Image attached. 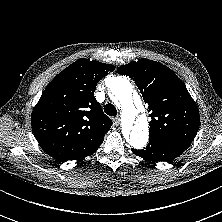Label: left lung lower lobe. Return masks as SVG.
<instances>
[{
	"label": "left lung lower lobe",
	"instance_id": "0a47b994",
	"mask_svg": "<svg viewBox=\"0 0 222 222\" xmlns=\"http://www.w3.org/2000/svg\"><path fill=\"white\" fill-rule=\"evenodd\" d=\"M149 144L144 150L132 149V152L144 160L156 162H170L183 153L191 142L172 138H149Z\"/></svg>",
	"mask_w": 222,
	"mask_h": 222
}]
</instances>
